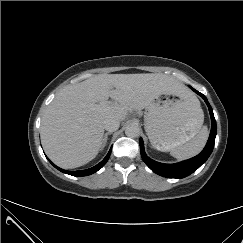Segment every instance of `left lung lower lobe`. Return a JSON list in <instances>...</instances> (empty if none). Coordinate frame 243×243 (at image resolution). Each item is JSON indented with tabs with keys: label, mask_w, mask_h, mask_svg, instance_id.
<instances>
[{
	"label": "left lung lower lobe",
	"mask_w": 243,
	"mask_h": 243,
	"mask_svg": "<svg viewBox=\"0 0 243 243\" xmlns=\"http://www.w3.org/2000/svg\"><path fill=\"white\" fill-rule=\"evenodd\" d=\"M190 88L204 99V101L206 102L209 108V112L211 116V121H212L211 132H210L208 142L205 148L203 149V151L199 155L195 156L194 158H191L186 161H182L180 163L163 164V163L156 162L150 159L149 157H147L144 151L143 140L142 138H140L139 140L142 159L153 172L163 177L184 178L190 175L191 173L196 171L208 159L214 147L215 137H216V120L214 118L213 110L209 102L207 101V98L202 93L196 91L192 87Z\"/></svg>",
	"instance_id": "1"
}]
</instances>
